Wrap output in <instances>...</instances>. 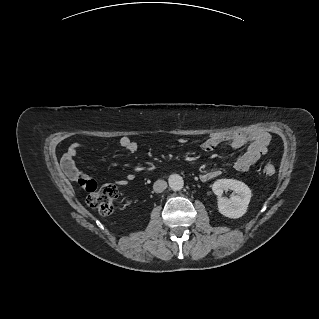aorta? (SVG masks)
Wrapping results in <instances>:
<instances>
[{
  "instance_id": "1",
  "label": "aorta",
  "mask_w": 319,
  "mask_h": 319,
  "mask_svg": "<svg viewBox=\"0 0 319 319\" xmlns=\"http://www.w3.org/2000/svg\"><path fill=\"white\" fill-rule=\"evenodd\" d=\"M169 186L174 191H179L184 186V180L183 178L178 174H172L169 177Z\"/></svg>"
}]
</instances>
